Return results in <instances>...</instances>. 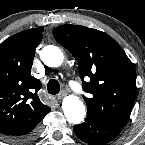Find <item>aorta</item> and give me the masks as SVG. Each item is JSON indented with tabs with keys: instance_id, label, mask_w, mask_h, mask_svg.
Masks as SVG:
<instances>
[{
	"instance_id": "obj_1",
	"label": "aorta",
	"mask_w": 145,
	"mask_h": 145,
	"mask_svg": "<svg viewBox=\"0 0 145 145\" xmlns=\"http://www.w3.org/2000/svg\"><path fill=\"white\" fill-rule=\"evenodd\" d=\"M42 62L49 67H58L64 60L62 51L53 45L45 46L40 51ZM62 110L69 123L79 124L86 116V108L79 97L69 95L63 99Z\"/></svg>"
}]
</instances>
